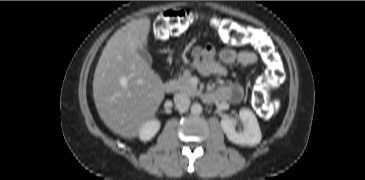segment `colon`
I'll return each instance as SVG.
<instances>
[{
	"mask_svg": "<svg viewBox=\"0 0 365 180\" xmlns=\"http://www.w3.org/2000/svg\"><path fill=\"white\" fill-rule=\"evenodd\" d=\"M206 20L216 29H219L221 39L232 46L240 47L251 43L255 36L253 29L249 27H236L223 19L200 13L190 9H169L160 13L153 24L151 35L155 40L165 41L172 37L185 34L199 20ZM270 69L260 80V89L257 91V100L260 104H266L267 112L273 113L275 104L269 102L268 96L283 80L282 68L276 59L274 52L267 46L260 49Z\"/></svg>",
	"mask_w": 365,
	"mask_h": 180,
	"instance_id": "colon-1",
	"label": "colon"
}]
</instances>
